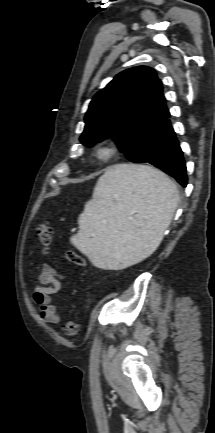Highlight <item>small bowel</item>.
<instances>
[{
	"label": "small bowel",
	"instance_id": "c3829d8e",
	"mask_svg": "<svg viewBox=\"0 0 215 433\" xmlns=\"http://www.w3.org/2000/svg\"><path fill=\"white\" fill-rule=\"evenodd\" d=\"M64 279L65 276L59 274L50 264H42L38 275L39 285L34 288L32 298L39 307L42 319L49 324H57L61 319L53 298L61 289Z\"/></svg>",
	"mask_w": 215,
	"mask_h": 433
}]
</instances>
